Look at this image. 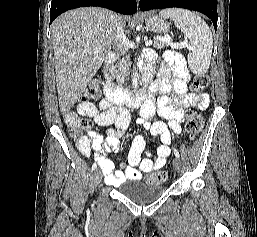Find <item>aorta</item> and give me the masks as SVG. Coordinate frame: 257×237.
<instances>
[{
    "instance_id": "1",
    "label": "aorta",
    "mask_w": 257,
    "mask_h": 237,
    "mask_svg": "<svg viewBox=\"0 0 257 237\" xmlns=\"http://www.w3.org/2000/svg\"><path fill=\"white\" fill-rule=\"evenodd\" d=\"M132 88L134 92H136L138 88V72L136 71V69L132 73Z\"/></svg>"
}]
</instances>
